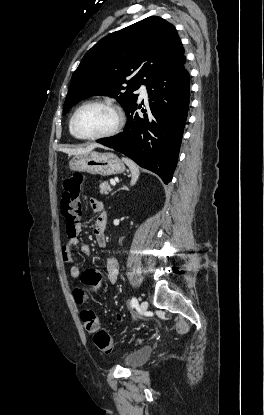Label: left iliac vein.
I'll list each match as a JSON object with an SVG mask.
<instances>
[{"instance_id":"obj_1","label":"left iliac vein","mask_w":264,"mask_h":415,"mask_svg":"<svg viewBox=\"0 0 264 415\" xmlns=\"http://www.w3.org/2000/svg\"><path fill=\"white\" fill-rule=\"evenodd\" d=\"M147 309H148V302L147 301H142L140 303V311L145 312Z\"/></svg>"}]
</instances>
